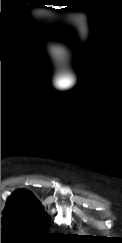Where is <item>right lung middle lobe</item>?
I'll use <instances>...</instances> for the list:
<instances>
[{"label":"right lung middle lobe","instance_id":"dd1d6c3e","mask_svg":"<svg viewBox=\"0 0 122 243\" xmlns=\"http://www.w3.org/2000/svg\"><path fill=\"white\" fill-rule=\"evenodd\" d=\"M50 221L40 208L20 202H7L2 216V233L41 239L46 235Z\"/></svg>","mask_w":122,"mask_h":243}]
</instances>
